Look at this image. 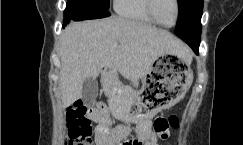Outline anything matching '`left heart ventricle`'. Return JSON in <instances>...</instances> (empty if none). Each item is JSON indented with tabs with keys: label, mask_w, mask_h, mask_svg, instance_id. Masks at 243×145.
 I'll return each mask as SVG.
<instances>
[{
	"label": "left heart ventricle",
	"mask_w": 243,
	"mask_h": 145,
	"mask_svg": "<svg viewBox=\"0 0 243 145\" xmlns=\"http://www.w3.org/2000/svg\"><path fill=\"white\" fill-rule=\"evenodd\" d=\"M156 17L163 24H171L175 18V5L173 0H155Z\"/></svg>",
	"instance_id": "1"
}]
</instances>
